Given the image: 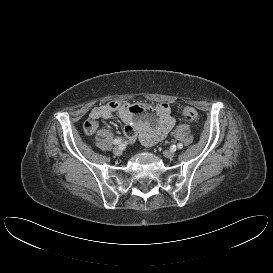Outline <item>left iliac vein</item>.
Segmentation results:
<instances>
[{
  "label": "left iliac vein",
  "mask_w": 273,
  "mask_h": 273,
  "mask_svg": "<svg viewBox=\"0 0 273 273\" xmlns=\"http://www.w3.org/2000/svg\"><path fill=\"white\" fill-rule=\"evenodd\" d=\"M163 155L166 157V158H172L174 156V152L173 151H164L163 152Z\"/></svg>",
  "instance_id": "left-iliac-vein-1"
}]
</instances>
